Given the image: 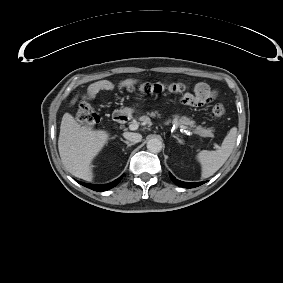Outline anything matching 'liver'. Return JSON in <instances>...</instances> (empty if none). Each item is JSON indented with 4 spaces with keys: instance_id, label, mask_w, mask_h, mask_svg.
<instances>
[{
    "instance_id": "6515ba94",
    "label": "liver",
    "mask_w": 283,
    "mask_h": 283,
    "mask_svg": "<svg viewBox=\"0 0 283 283\" xmlns=\"http://www.w3.org/2000/svg\"><path fill=\"white\" fill-rule=\"evenodd\" d=\"M106 139L105 134L97 136L81 132L75 119L70 114H65L58 139L61 164L71 175L84 180L91 179L89 164Z\"/></svg>"
}]
</instances>
